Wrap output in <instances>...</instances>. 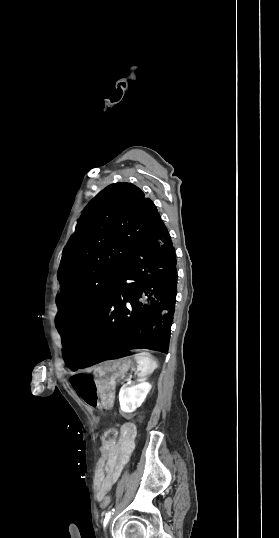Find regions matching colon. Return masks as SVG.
<instances>
[{"instance_id":"obj_1","label":"colon","mask_w":279,"mask_h":538,"mask_svg":"<svg viewBox=\"0 0 279 538\" xmlns=\"http://www.w3.org/2000/svg\"><path fill=\"white\" fill-rule=\"evenodd\" d=\"M117 436H118V433L115 429H109L103 433L102 442L103 444H106V445L112 444L117 439ZM103 461H104V456L103 454H101V457L98 460L97 469H96L97 479L100 477L102 473ZM109 504H110V497L109 496L103 497L102 502H101L102 507L106 508L109 506Z\"/></svg>"}]
</instances>
